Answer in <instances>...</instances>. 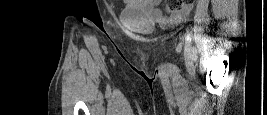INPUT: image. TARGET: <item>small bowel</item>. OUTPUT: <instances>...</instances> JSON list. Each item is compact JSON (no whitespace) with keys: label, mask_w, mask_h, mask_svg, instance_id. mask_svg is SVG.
<instances>
[{"label":"small bowel","mask_w":267,"mask_h":115,"mask_svg":"<svg viewBox=\"0 0 267 115\" xmlns=\"http://www.w3.org/2000/svg\"><path fill=\"white\" fill-rule=\"evenodd\" d=\"M159 3L160 0H130L128 1V7L131 9L145 10L153 17L160 19L162 18V14L158 9ZM189 9H190L189 5L185 6L182 10L174 13L172 19L180 20L184 18L187 15Z\"/></svg>","instance_id":"obj_1"}]
</instances>
